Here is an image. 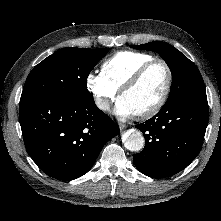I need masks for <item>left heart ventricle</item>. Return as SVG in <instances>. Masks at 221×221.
<instances>
[{"mask_svg":"<svg viewBox=\"0 0 221 221\" xmlns=\"http://www.w3.org/2000/svg\"><path fill=\"white\" fill-rule=\"evenodd\" d=\"M166 82V69L161 64H155L147 70L133 88L121 96V99L130 106L134 114L147 110L159 100Z\"/></svg>","mask_w":221,"mask_h":221,"instance_id":"b2bd125f","label":"left heart ventricle"}]
</instances>
